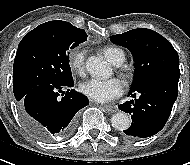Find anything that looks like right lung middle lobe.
Wrapping results in <instances>:
<instances>
[{
    "label": "right lung middle lobe",
    "mask_w": 190,
    "mask_h": 165,
    "mask_svg": "<svg viewBox=\"0 0 190 165\" xmlns=\"http://www.w3.org/2000/svg\"><path fill=\"white\" fill-rule=\"evenodd\" d=\"M85 30L66 21L43 23L21 40L13 65V91L21 101L41 84L64 85L73 82L69 53L86 41Z\"/></svg>",
    "instance_id": "dd1d6c3e"
}]
</instances>
